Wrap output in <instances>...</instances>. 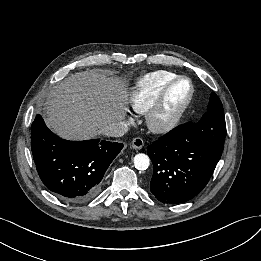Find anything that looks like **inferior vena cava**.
Wrapping results in <instances>:
<instances>
[{
  "label": "inferior vena cava",
  "instance_id": "inferior-vena-cava-1",
  "mask_svg": "<svg viewBox=\"0 0 261 261\" xmlns=\"http://www.w3.org/2000/svg\"><path fill=\"white\" fill-rule=\"evenodd\" d=\"M128 125L124 121L110 123L100 129V133L111 137H121L128 131Z\"/></svg>",
  "mask_w": 261,
  "mask_h": 261
}]
</instances>
